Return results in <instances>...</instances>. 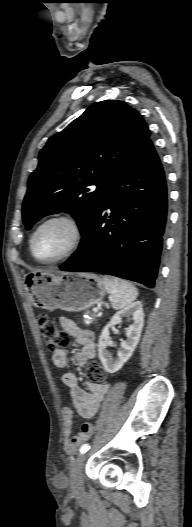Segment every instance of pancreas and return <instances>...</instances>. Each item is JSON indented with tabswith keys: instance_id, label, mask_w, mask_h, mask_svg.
<instances>
[{
	"instance_id": "1",
	"label": "pancreas",
	"mask_w": 192,
	"mask_h": 527,
	"mask_svg": "<svg viewBox=\"0 0 192 527\" xmlns=\"http://www.w3.org/2000/svg\"><path fill=\"white\" fill-rule=\"evenodd\" d=\"M87 318H85L83 320V322L86 324V325H90L92 324L93 322H96L97 320V314L96 313H93V312H87Z\"/></svg>"
}]
</instances>
